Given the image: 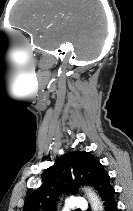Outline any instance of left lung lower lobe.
<instances>
[{"instance_id":"0a47b994","label":"left lung lower lobe","mask_w":133,"mask_h":211,"mask_svg":"<svg viewBox=\"0 0 133 211\" xmlns=\"http://www.w3.org/2000/svg\"><path fill=\"white\" fill-rule=\"evenodd\" d=\"M105 211H117V203L115 200V190L110 186L102 195Z\"/></svg>"}]
</instances>
